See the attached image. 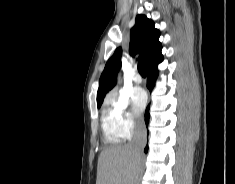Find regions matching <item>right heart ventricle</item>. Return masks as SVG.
<instances>
[{
	"instance_id": "1",
	"label": "right heart ventricle",
	"mask_w": 235,
	"mask_h": 184,
	"mask_svg": "<svg viewBox=\"0 0 235 184\" xmlns=\"http://www.w3.org/2000/svg\"><path fill=\"white\" fill-rule=\"evenodd\" d=\"M102 129L108 149L103 153L104 159H111L117 156L122 150V141L115 128L111 119V114L107 110L102 112Z\"/></svg>"
}]
</instances>
